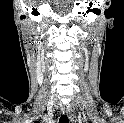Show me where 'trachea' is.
Listing matches in <instances>:
<instances>
[{
  "instance_id": "1",
  "label": "trachea",
  "mask_w": 124,
  "mask_h": 123,
  "mask_svg": "<svg viewBox=\"0 0 124 123\" xmlns=\"http://www.w3.org/2000/svg\"><path fill=\"white\" fill-rule=\"evenodd\" d=\"M59 123H69L67 115H62L59 119Z\"/></svg>"
}]
</instances>
